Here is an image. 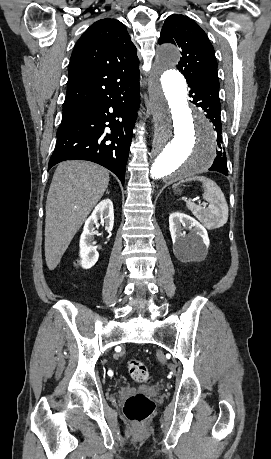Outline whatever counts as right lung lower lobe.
Masks as SVG:
<instances>
[{"mask_svg": "<svg viewBox=\"0 0 271 459\" xmlns=\"http://www.w3.org/2000/svg\"><path fill=\"white\" fill-rule=\"evenodd\" d=\"M139 90L137 77L63 114L48 170L65 160H89L112 171L124 184Z\"/></svg>", "mask_w": 271, "mask_h": 459, "instance_id": "1", "label": "right lung lower lobe"}]
</instances>
